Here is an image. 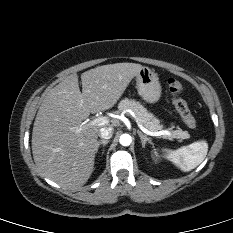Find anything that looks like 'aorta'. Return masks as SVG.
Returning <instances> with one entry per match:
<instances>
[{
    "mask_svg": "<svg viewBox=\"0 0 233 233\" xmlns=\"http://www.w3.org/2000/svg\"><path fill=\"white\" fill-rule=\"evenodd\" d=\"M119 142L122 146H129L132 142V137L129 134H122L119 138Z\"/></svg>",
    "mask_w": 233,
    "mask_h": 233,
    "instance_id": "1",
    "label": "aorta"
}]
</instances>
